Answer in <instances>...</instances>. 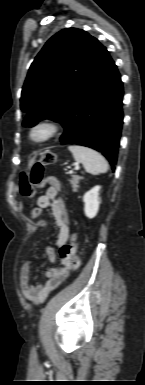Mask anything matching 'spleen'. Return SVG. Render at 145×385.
<instances>
[{
	"label": "spleen",
	"mask_w": 145,
	"mask_h": 385,
	"mask_svg": "<svg viewBox=\"0 0 145 385\" xmlns=\"http://www.w3.org/2000/svg\"><path fill=\"white\" fill-rule=\"evenodd\" d=\"M68 149L73 154L75 161L84 166L86 172L94 175L107 172V161L95 150L80 145H71Z\"/></svg>",
	"instance_id": "obj_1"
}]
</instances>
